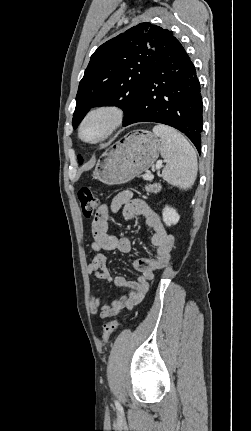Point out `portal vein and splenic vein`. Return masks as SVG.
Returning <instances> with one entry per match:
<instances>
[{"instance_id": "18ae733b", "label": "portal vein and splenic vein", "mask_w": 251, "mask_h": 431, "mask_svg": "<svg viewBox=\"0 0 251 431\" xmlns=\"http://www.w3.org/2000/svg\"><path fill=\"white\" fill-rule=\"evenodd\" d=\"M161 166H162V161L156 165V169H159ZM153 178H154V176L152 174L143 175V179H145V180H152Z\"/></svg>"}]
</instances>
